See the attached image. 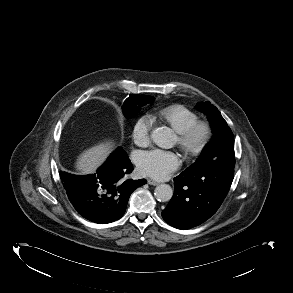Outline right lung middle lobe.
<instances>
[{"mask_svg":"<svg viewBox=\"0 0 293 293\" xmlns=\"http://www.w3.org/2000/svg\"><path fill=\"white\" fill-rule=\"evenodd\" d=\"M153 100L154 97L151 100H146L141 95L131 94L128 101H126L122 106L125 117H131L137 114L142 106L152 102Z\"/></svg>","mask_w":293,"mask_h":293,"instance_id":"obj_1","label":"right lung middle lobe"}]
</instances>
